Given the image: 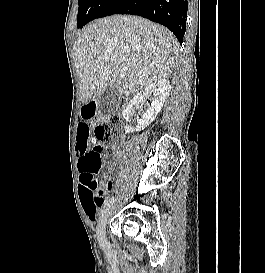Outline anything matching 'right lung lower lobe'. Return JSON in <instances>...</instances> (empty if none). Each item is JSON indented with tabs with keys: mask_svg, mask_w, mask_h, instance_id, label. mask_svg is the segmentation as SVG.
<instances>
[{
	"mask_svg": "<svg viewBox=\"0 0 265 273\" xmlns=\"http://www.w3.org/2000/svg\"><path fill=\"white\" fill-rule=\"evenodd\" d=\"M187 0H118L106 16L132 14L166 26L182 45L186 31Z\"/></svg>",
	"mask_w": 265,
	"mask_h": 273,
	"instance_id": "right-lung-lower-lobe-1",
	"label": "right lung lower lobe"
}]
</instances>
